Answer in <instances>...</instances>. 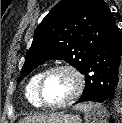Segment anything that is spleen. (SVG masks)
<instances>
[{
    "mask_svg": "<svg viewBox=\"0 0 122 123\" xmlns=\"http://www.w3.org/2000/svg\"><path fill=\"white\" fill-rule=\"evenodd\" d=\"M76 110L83 111L86 123H107L108 112L101 104L89 102L78 104Z\"/></svg>",
    "mask_w": 122,
    "mask_h": 123,
    "instance_id": "3e777b00",
    "label": "spleen"
}]
</instances>
